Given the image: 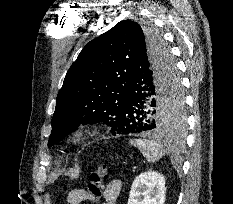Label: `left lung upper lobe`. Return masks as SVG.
Wrapping results in <instances>:
<instances>
[{
    "label": "left lung upper lobe",
    "instance_id": "obj_1",
    "mask_svg": "<svg viewBox=\"0 0 233 204\" xmlns=\"http://www.w3.org/2000/svg\"><path fill=\"white\" fill-rule=\"evenodd\" d=\"M140 49L151 55L163 53L167 75L174 61L162 37L151 26L131 20L120 21L106 33L86 44L68 70L56 99L51 121V147L80 124L104 122L113 135L119 131L120 103L127 91L133 61ZM161 130H172L185 124L184 97L180 81L158 107Z\"/></svg>",
    "mask_w": 233,
    "mask_h": 204
}]
</instances>
